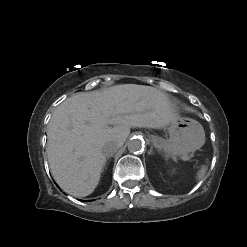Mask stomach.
I'll use <instances>...</instances> for the list:
<instances>
[{"label": "stomach", "instance_id": "stomach-1", "mask_svg": "<svg viewBox=\"0 0 247 247\" xmlns=\"http://www.w3.org/2000/svg\"><path fill=\"white\" fill-rule=\"evenodd\" d=\"M169 139L152 136L151 142L167 156L187 155L201 148L205 143L202 125L191 118L176 116L168 128Z\"/></svg>", "mask_w": 247, "mask_h": 247}]
</instances>
